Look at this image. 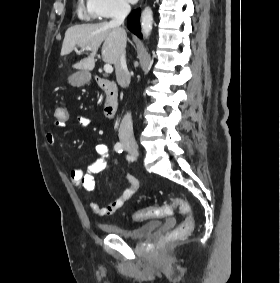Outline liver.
Returning a JSON list of instances; mask_svg holds the SVG:
<instances>
[{
  "label": "liver",
  "mask_w": 280,
  "mask_h": 283,
  "mask_svg": "<svg viewBox=\"0 0 280 283\" xmlns=\"http://www.w3.org/2000/svg\"><path fill=\"white\" fill-rule=\"evenodd\" d=\"M126 32L120 27H113L107 22L97 24L75 25L67 29L62 44L61 55L71 53L75 46L81 48L90 46V54L73 65V68L91 71L95 67L94 57L98 48L102 46V59L108 64L116 66L120 52L125 49Z\"/></svg>",
  "instance_id": "obj_1"
}]
</instances>
